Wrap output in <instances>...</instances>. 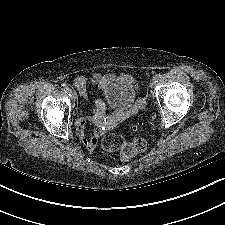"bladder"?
<instances>
[{
  "label": "bladder",
  "mask_w": 225,
  "mask_h": 225,
  "mask_svg": "<svg viewBox=\"0 0 225 225\" xmlns=\"http://www.w3.org/2000/svg\"><path fill=\"white\" fill-rule=\"evenodd\" d=\"M105 102L113 107L123 110L132 109L137 102L135 88L121 80H115L104 89Z\"/></svg>",
  "instance_id": "31cf9c89"
}]
</instances>
